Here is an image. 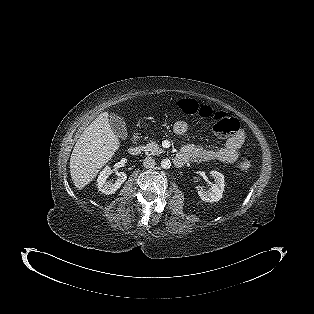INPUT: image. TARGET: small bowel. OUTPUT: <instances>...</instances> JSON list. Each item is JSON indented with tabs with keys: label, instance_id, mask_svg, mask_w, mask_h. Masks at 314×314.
<instances>
[{
	"label": "small bowel",
	"instance_id": "small-bowel-1",
	"mask_svg": "<svg viewBox=\"0 0 314 314\" xmlns=\"http://www.w3.org/2000/svg\"><path fill=\"white\" fill-rule=\"evenodd\" d=\"M173 133L177 136H185L188 131V125L184 121H177L172 127ZM245 142V135L242 131H238L229 137L225 145L221 148L212 149L197 146L194 144L185 145L179 155L185 157L187 161L207 162L214 161L220 163H234L239 155L240 149Z\"/></svg>",
	"mask_w": 314,
	"mask_h": 314
}]
</instances>
